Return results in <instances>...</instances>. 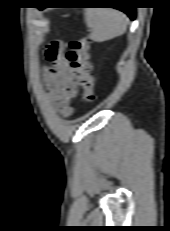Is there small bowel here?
Listing matches in <instances>:
<instances>
[{"mask_svg": "<svg viewBox=\"0 0 170 231\" xmlns=\"http://www.w3.org/2000/svg\"><path fill=\"white\" fill-rule=\"evenodd\" d=\"M64 50V43L58 40L47 47L46 60L49 66L45 69V79L53 105L64 116H70L73 112L71 103L77 95V85Z\"/></svg>", "mask_w": 170, "mask_h": 231, "instance_id": "obj_1", "label": "small bowel"}]
</instances>
